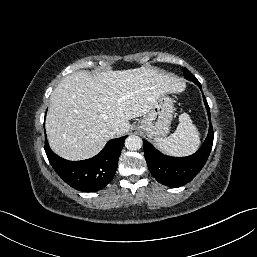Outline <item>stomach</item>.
<instances>
[{"instance_id": "stomach-1", "label": "stomach", "mask_w": 257, "mask_h": 257, "mask_svg": "<svg viewBox=\"0 0 257 257\" xmlns=\"http://www.w3.org/2000/svg\"><path fill=\"white\" fill-rule=\"evenodd\" d=\"M174 105L166 94L159 96L150 111L143 116L137 129L144 131L149 138H162L169 133Z\"/></svg>"}]
</instances>
